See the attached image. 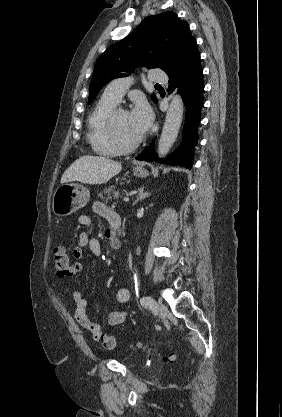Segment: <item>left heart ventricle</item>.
I'll list each match as a JSON object with an SVG mask.
<instances>
[{
    "instance_id": "left-heart-ventricle-1",
    "label": "left heart ventricle",
    "mask_w": 282,
    "mask_h": 417,
    "mask_svg": "<svg viewBox=\"0 0 282 417\" xmlns=\"http://www.w3.org/2000/svg\"><path fill=\"white\" fill-rule=\"evenodd\" d=\"M101 131L108 137L109 129L105 120L100 126ZM116 133L119 139L124 143H131L137 140L141 132L135 127L132 116L129 113H121L116 119Z\"/></svg>"
}]
</instances>
